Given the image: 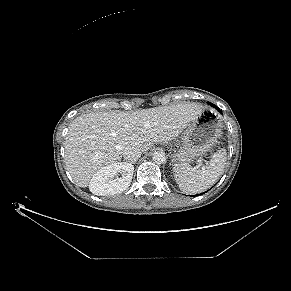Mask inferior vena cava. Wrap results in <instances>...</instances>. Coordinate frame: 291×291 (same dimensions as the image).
<instances>
[{
	"label": "inferior vena cava",
	"mask_w": 291,
	"mask_h": 291,
	"mask_svg": "<svg viewBox=\"0 0 291 291\" xmlns=\"http://www.w3.org/2000/svg\"><path fill=\"white\" fill-rule=\"evenodd\" d=\"M141 153V149L135 146H129L123 150L124 159L128 162L136 161L141 156Z\"/></svg>",
	"instance_id": "inferior-vena-cava-1"
}]
</instances>
